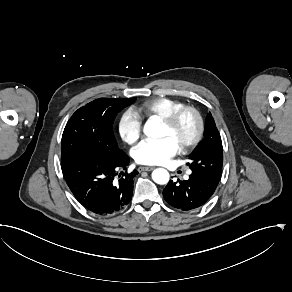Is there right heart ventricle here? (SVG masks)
I'll return each instance as SVG.
<instances>
[{
  "label": "right heart ventricle",
  "instance_id": "obj_1",
  "mask_svg": "<svg viewBox=\"0 0 292 292\" xmlns=\"http://www.w3.org/2000/svg\"><path fill=\"white\" fill-rule=\"evenodd\" d=\"M184 105L181 101L161 96L144 100L139 105V113L146 118L158 116L161 119L168 116L173 110Z\"/></svg>",
  "mask_w": 292,
  "mask_h": 292
}]
</instances>
